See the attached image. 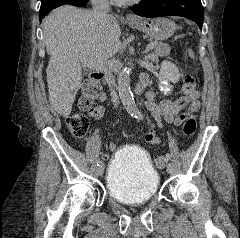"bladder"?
<instances>
[{"mask_svg":"<svg viewBox=\"0 0 240 238\" xmlns=\"http://www.w3.org/2000/svg\"><path fill=\"white\" fill-rule=\"evenodd\" d=\"M160 177L149 155L135 146L118 149L110 161L106 186L111 198L123 204H141L155 197Z\"/></svg>","mask_w":240,"mask_h":238,"instance_id":"bladder-1","label":"bladder"}]
</instances>
